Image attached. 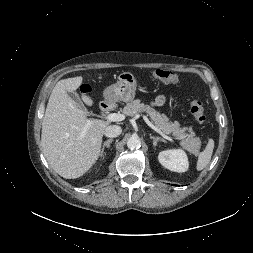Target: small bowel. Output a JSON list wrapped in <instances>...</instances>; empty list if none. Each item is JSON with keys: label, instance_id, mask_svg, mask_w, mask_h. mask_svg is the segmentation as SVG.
Instances as JSON below:
<instances>
[{"label": "small bowel", "instance_id": "c3829d8e", "mask_svg": "<svg viewBox=\"0 0 253 253\" xmlns=\"http://www.w3.org/2000/svg\"><path fill=\"white\" fill-rule=\"evenodd\" d=\"M164 102H165V97L162 96V95H160V96L156 97V99L153 102V105H155V106H161V105L164 104Z\"/></svg>", "mask_w": 253, "mask_h": 253}]
</instances>
